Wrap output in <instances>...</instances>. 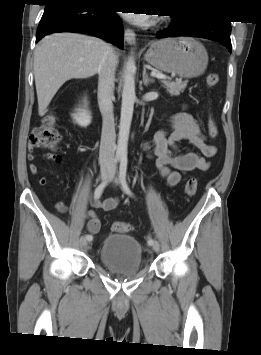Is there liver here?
I'll return each mask as SVG.
<instances>
[{"label":"liver","instance_id":"liver-1","mask_svg":"<svg viewBox=\"0 0 261 355\" xmlns=\"http://www.w3.org/2000/svg\"><path fill=\"white\" fill-rule=\"evenodd\" d=\"M108 47L101 39L76 33H55L43 38L34 53L39 116L46 114L52 98L66 81L95 75Z\"/></svg>","mask_w":261,"mask_h":355}]
</instances>
